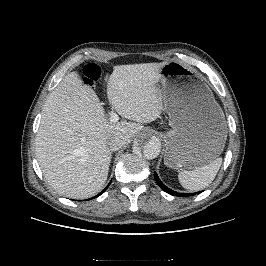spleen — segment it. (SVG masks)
Returning a JSON list of instances; mask_svg holds the SVG:
<instances>
[{
    "mask_svg": "<svg viewBox=\"0 0 266 266\" xmlns=\"http://www.w3.org/2000/svg\"><path fill=\"white\" fill-rule=\"evenodd\" d=\"M222 158H216L210 163L190 171H181L178 174L180 184L187 190L198 191L207 187L216 177Z\"/></svg>",
    "mask_w": 266,
    "mask_h": 266,
    "instance_id": "spleen-1",
    "label": "spleen"
}]
</instances>
